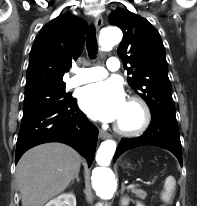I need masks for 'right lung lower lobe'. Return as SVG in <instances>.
Masks as SVG:
<instances>
[{
    "instance_id": "1",
    "label": "right lung lower lobe",
    "mask_w": 197,
    "mask_h": 206,
    "mask_svg": "<svg viewBox=\"0 0 197 206\" xmlns=\"http://www.w3.org/2000/svg\"><path fill=\"white\" fill-rule=\"evenodd\" d=\"M98 130L79 110L74 98L60 107L48 108L22 118L16 144L15 164L28 149L46 142H63L93 162Z\"/></svg>"
}]
</instances>
